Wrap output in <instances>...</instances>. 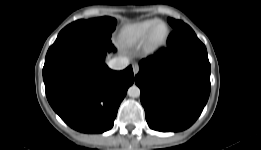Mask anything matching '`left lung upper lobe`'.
Here are the masks:
<instances>
[{
	"mask_svg": "<svg viewBox=\"0 0 261 150\" xmlns=\"http://www.w3.org/2000/svg\"><path fill=\"white\" fill-rule=\"evenodd\" d=\"M168 22H169V24L172 26L173 29L178 28V27H180V26H182V25L185 24V23H183L182 21H180V20H175V19H173V18H168Z\"/></svg>",
	"mask_w": 261,
	"mask_h": 150,
	"instance_id": "1",
	"label": "left lung upper lobe"
}]
</instances>
